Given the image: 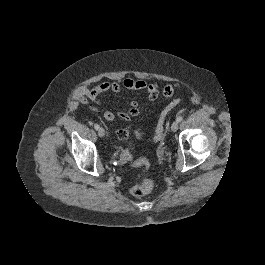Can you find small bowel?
<instances>
[{
    "label": "small bowel",
    "mask_w": 265,
    "mask_h": 265,
    "mask_svg": "<svg viewBox=\"0 0 265 265\" xmlns=\"http://www.w3.org/2000/svg\"><path fill=\"white\" fill-rule=\"evenodd\" d=\"M142 90L147 93L149 100L153 101L157 99L159 95V88L156 84L146 82L140 79H133L130 77L124 78L121 82L106 81L97 84L93 88L88 86H81L76 93L77 98L84 104L89 105L93 110H100L102 99L100 96L104 93H120L122 90ZM139 114L138 103L133 101L130 103L126 112H119L118 116L123 120H128L131 117H135ZM103 117L106 121L112 122L115 119V115L111 111H105Z\"/></svg>",
    "instance_id": "small-bowel-1"
}]
</instances>
